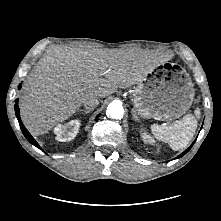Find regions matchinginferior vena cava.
<instances>
[{
  "label": "inferior vena cava",
  "instance_id": "602c4592",
  "mask_svg": "<svg viewBox=\"0 0 221 221\" xmlns=\"http://www.w3.org/2000/svg\"><path fill=\"white\" fill-rule=\"evenodd\" d=\"M82 103L87 109H93L99 104V97L94 94H88L83 98Z\"/></svg>",
  "mask_w": 221,
  "mask_h": 221
}]
</instances>
